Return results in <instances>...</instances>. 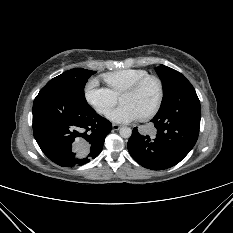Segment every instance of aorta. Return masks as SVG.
Listing matches in <instances>:
<instances>
[{
	"instance_id": "762f6f07",
	"label": "aorta",
	"mask_w": 233,
	"mask_h": 233,
	"mask_svg": "<svg viewBox=\"0 0 233 233\" xmlns=\"http://www.w3.org/2000/svg\"><path fill=\"white\" fill-rule=\"evenodd\" d=\"M120 136L123 138H129L132 134V130L129 127H122L119 130Z\"/></svg>"
}]
</instances>
